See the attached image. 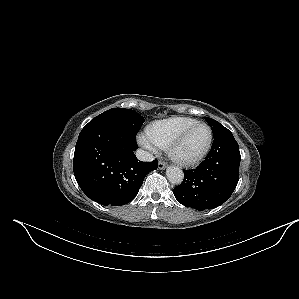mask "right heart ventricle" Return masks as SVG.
I'll return each instance as SVG.
<instances>
[{"mask_svg":"<svg viewBox=\"0 0 299 299\" xmlns=\"http://www.w3.org/2000/svg\"><path fill=\"white\" fill-rule=\"evenodd\" d=\"M197 120L188 117H172L153 122L147 128V136L159 148H168L185 128Z\"/></svg>","mask_w":299,"mask_h":299,"instance_id":"e07e8e85","label":"right heart ventricle"}]
</instances>
